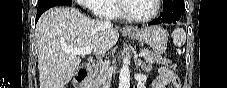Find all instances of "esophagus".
Listing matches in <instances>:
<instances>
[{
	"label": "esophagus",
	"mask_w": 227,
	"mask_h": 88,
	"mask_svg": "<svg viewBox=\"0 0 227 88\" xmlns=\"http://www.w3.org/2000/svg\"><path fill=\"white\" fill-rule=\"evenodd\" d=\"M123 30H125V31H132L133 28H132V27H129V26H125V27L123 28Z\"/></svg>",
	"instance_id": "34e87169"
}]
</instances>
